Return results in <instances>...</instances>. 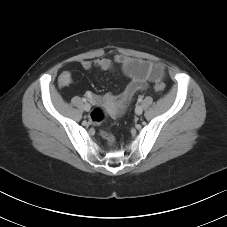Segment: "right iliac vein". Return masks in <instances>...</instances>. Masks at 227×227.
Segmentation results:
<instances>
[{
  "mask_svg": "<svg viewBox=\"0 0 227 227\" xmlns=\"http://www.w3.org/2000/svg\"><path fill=\"white\" fill-rule=\"evenodd\" d=\"M90 109H91V106L88 103H85L84 110L88 112V111H90Z\"/></svg>",
  "mask_w": 227,
  "mask_h": 227,
  "instance_id": "right-iliac-vein-1",
  "label": "right iliac vein"
}]
</instances>
